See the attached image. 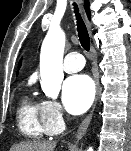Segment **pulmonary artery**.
I'll return each instance as SVG.
<instances>
[{
  "label": "pulmonary artery",
  "mask_w": 131,
  "mask_h": 151,
  "mask_svg": "<svg viewBox=\"0 0 131 151\" xmlns=\"http://www.w3.org/2000/svg\"><path fill=\"white\" fill-rule=\"evenodd\" d=\"M85 61L83 56L78 52L68 53L63 61V69L67 73H75L84 67Z\"/></svg>",
  "instance_id": "pulmonary-artery-1"
}]
</instances>
